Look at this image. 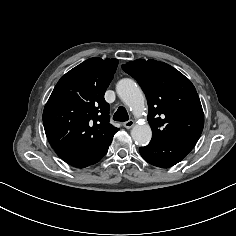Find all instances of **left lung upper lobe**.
Returning a JSON list of instances; mask_svg holds the SVG:
<instances>
[{
    "label": "left lung upper lobe",
    "instance_id": "1",
    "mask_svg": "<svg viewBox=\"0 0 236 236\" xmlns=\"http://www.w3.org/2000/svg\"><path fill=\"white\" fill-rule=\"evenodd\" d=\"M137 80L148 102L151 142H197L204 113L191 81L172 66L138 59L122 65Z\"/></svg>",
    "mask_w": 236,
    "mask_h": 236
}]
</instances>
